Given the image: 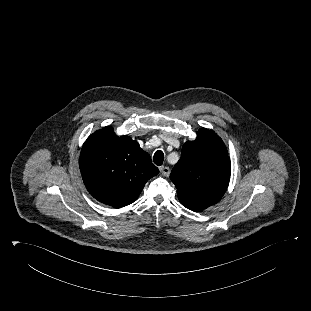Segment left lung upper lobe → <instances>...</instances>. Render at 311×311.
<instances>
[{"instance_id":"obj_1","label":"left lung upper lobe","mask_w":311,"mask_h":311,"mask_svg":"<svg viewBox=\"0 0 311 311\" xmlns=\"http://www.w3.org/2000/svg\"><path fill=\"white\" fill-rule=\"evenodd\" d=\"M230 173V158L225 144L214 131L203 128L194 141L183 145L170 179L180 200L211 206L226 192Z\"/></svg>"}]
</instances>
